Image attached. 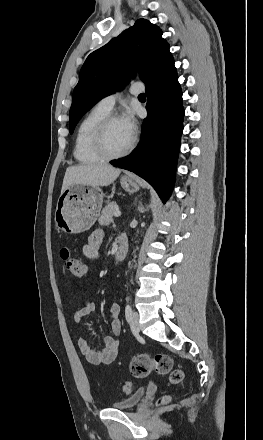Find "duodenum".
I'll list each match as a JSON object with an SVG mask.
<instances>
[{"label":"duodenum","instance_id":"1","mask_svg":"<svg viewBox=\"0 0 263 440\" xmlns=\"http://www.w3.org/2000/svg\"><path fill=\"white\" fill-rule=\"evenodd\" d=\"M127 250H128V245H127V241L125 240L124 237H120L117 241V248L115 251V261L117 263L123 261L126 257L127 254Z\"/></svg>","mask_w":263,"mask_h":440}]
</instances>
